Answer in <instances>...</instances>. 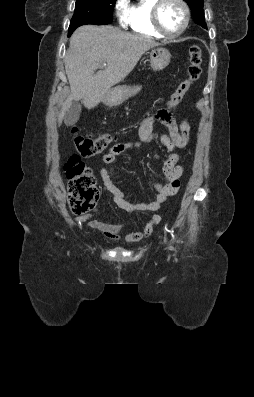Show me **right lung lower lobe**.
Returning a JSON list of instances; mask_svg holds the SVG:
<instances>
[{
    "label": "right lung lower lobe",
    "mask_w": 254,
    "mask_h": 397,
    "mask_svg": "<svg viewBox=\"0 0 254 397\" xmlns=\"http://www.w3.org/2000/svg\"><path fill=\"white\" fill-rule=\"evenodd\" d=\"M75 29H76V28L69 29L68 37L71 36V34L74 32Z\"/></svg>",
    "instance_id": "obj_1"
}]
</instances>
